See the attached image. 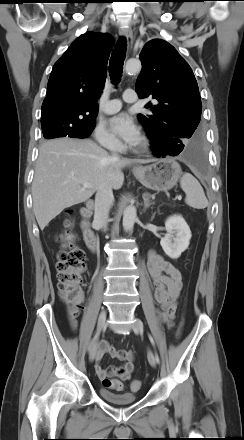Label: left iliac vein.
Listing matches in <instances>:
<instances>
[{
  "label": "left iliac vein",
  "mask_w": 244,
  "mask_h": 440,
  "mask_svg": "<svg viewBox=\"0 0 244 440\" xmlns=\"http://www.w3.org/2000/svg\"><path fill=\"white\" fill-rule=\"evenodd\" d=\"M133 330L135 333L137 334H142L143 333V323L140 319L136 318L134 324H133ZM148 361L150 363L151 366L155 367L156 366V361H155V357L153 355V353L151 351L148 352Z\"/></svg>",
  "instance_id": "4c4485c4"
}]
</instances>
